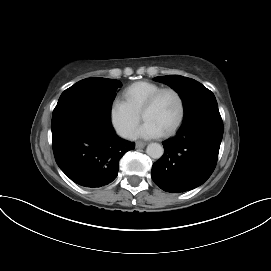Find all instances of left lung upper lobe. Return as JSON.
Masks as SVG:
<instances>
[{
  "label": "left lung upper lobe",
  "instance_id": "1",
  "mask_svg": "<svg viewBox=\"0 0 271 271\" xmlns=\"http://www.w3.org/2000/svg\"><path fill=\"white\" fill-rule=\"evenodd\" d=\"M154 80L172 87L180 95L184 106V122L191 117L208 112H219L214 94L198 81L179 76H159Z\"/></svg>",
  "mask_w": 271,
  "mask_h": 271
}]
</instances>
